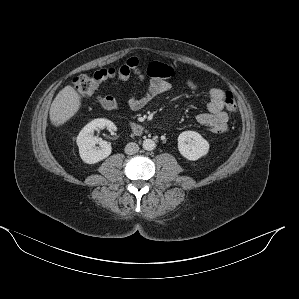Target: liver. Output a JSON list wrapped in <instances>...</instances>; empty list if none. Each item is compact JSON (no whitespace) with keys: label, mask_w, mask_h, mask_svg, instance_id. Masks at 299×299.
Returning a JSON list of instances; mask_svg holds the SVG:
<instances>
[{"label":"liver","mask_w":299,"mask_h":299,"mask_svg":"<svg viewBox=\"0 0 299 299\" xmlns=\"http://www.w3.org/2000/svg\"><path fill=\"white\" fill-rule=\"evenodd\" d=\"M81 107V99L76 90L71 86H65L53 100L49 117L51 123L59 127L75 116Z\"/></svg>","instance_id":"obj_1"}]
</instances>
